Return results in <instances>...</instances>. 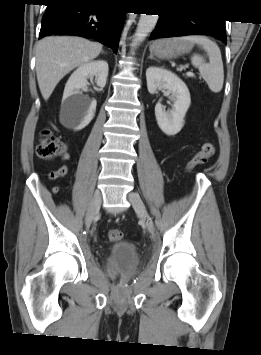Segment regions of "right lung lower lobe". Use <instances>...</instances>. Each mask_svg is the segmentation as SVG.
<instances>
[{"label":"right lung lower lobe","mask_w":261,"mask_h":355,"mask_svg":"<svg viewBox=\"0 0 261 355\" xmlns=\"http://www.w3.org/2000/svg\"><path fill=\"white\" fill-rule=\"evenodd\" d=\"M39 38L76 35L94 38L117 53L125 12L92 0H47ZM102 7L96 10L95 7Z\"/></svg>","instance_id":"1"}]
</instances>
